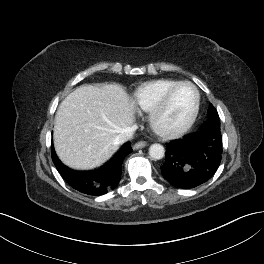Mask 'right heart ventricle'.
Returning a JSON list of instances; mask_svg holds the SVG:
<instances>
[{
	"instance_id": "obj_1",
	"label": "right heart ventricle",
	"mask_w": 264,
	"mask_h": 264,
	"mask_svg": "<svg viewBox=\"0 0 264 264\" xmlns=\"http://www.w3.org/2000/svg\"><path fill=\"white\" fill-rule=\"evenodd\" d=\"M178 82L175 79L164 78L152 80L138 86L132 95L135 107L142 112H150L159 102L166 90Z\"/></svg>"
}]
</instances>
